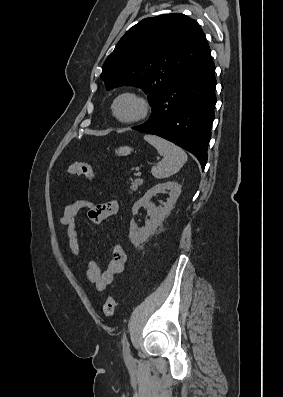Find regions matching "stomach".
Instances as JSON below:
<instances>
[{
    "label": "stomach",
    "mask_w": 283,
    "mask_h": 397,
    "mask_svg": "<svg viewBox=\"0 0 283 397\" xmlns=\"http://www.w3.org/2000/svg\"><path fill=\"white\" fill-rule=\"evenodd\" d=\"M132 152V148L129 146H122L116 150V154L119 156H127Z\"/></svg>",
    "instance_id": "obj_1"
}]
</instances>
